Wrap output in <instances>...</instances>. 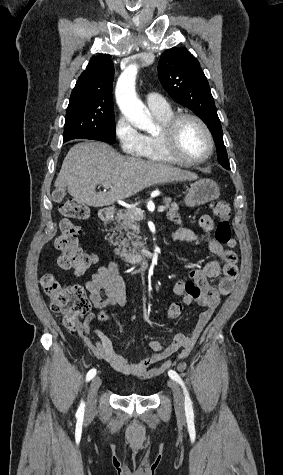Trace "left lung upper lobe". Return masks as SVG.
<instances>
[{"label":"left lung upper lobe","mask_w":283,"mask_h":475,"mask_svg":"<svg viewBox=\"0 0 283 475\" xmlns=\"http://www.w3.org/2000/svg\"><path fill=\"white\" fill-rule=\"evenodd\" d=\"M158 76L163 88L176 102L199 116L212 135H222L207 79L198 60L186 48L166 50L158 64Z\"/></svg>","instance_id":"1"}]
</instances>
